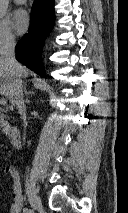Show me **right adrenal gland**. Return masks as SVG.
Instances as JSON below:
<instances>
[{
	"mask_svg": "<svg viewBox=\"0 0 128 213\" xmlns=\"http://www.w3.org/2000/svg\"><path fill=\"white\" fill-rule=\"evenodd\" d=\"M24 93L26 95V103H28L29 102V100H28L29 95L34 94V92L33 91H27V89L25 87L24 88Z\"/></svg>",
	"mask_w": 128,
	"mask_h": 213,
	"instance_id": "2a0ac1e0",
	"label": "right adrenal gland"
}]
</instances>
